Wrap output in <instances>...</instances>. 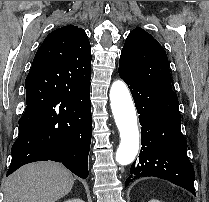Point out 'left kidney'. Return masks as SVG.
Wrapping results in <instances>:
<instances>
[{
    "label": "left kidney",
    "mask_w": 209,
    "mask_h": 202,
    "mask_svg": "<svg viewBox=\"0 0 209 202\" xmlns=\"http://www.w3.org/2000/svg\"><path fill=\"white\" fill-rule=\"evenodd\" d=\"M149 202H163V201H160V200H157V199H152Z\"/></svg>",
    "instance_id": "1"
}]
</instances>
